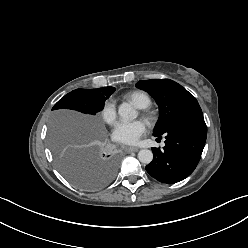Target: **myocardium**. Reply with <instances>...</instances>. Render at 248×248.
I'll list each match as a JSON object with an SVG mask.
<instances>
[{"instance_id":"myocardium-1","label":"myocardium","mask_w":248,"mask_h":248,"mask_svg":"<svg viewBox=\"0 0 248 248\" xmlns=\"http://www.w3.org/2000/svg\"><path fill=\"white\" fill-rule=\"evenodd\" d=\"M146 115H147L148 117H151V115H150V113H149V112H146Z\"/></svg>"}]
</instances>
